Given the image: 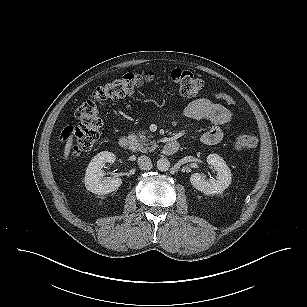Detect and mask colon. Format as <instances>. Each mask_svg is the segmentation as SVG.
Here are the masks:
<instances>
[{
  "mask_svg": "<svg viewBox=\"0 0 307 307\" xmlns=\"http://www.w3.org/2000/svg\"><path fill=\"white\" fill-rule=\"evenodd\" d=\"M156 79V74L150 71L126 73L97 87L91 97L85 100L76 111L79 125L69 127L63 132V138L72 141V154L79 156L90 151L100 138L103 121L97 103L132 96L143 86L155 82ZM167 79L178 93L185 97L196 96L204 86L202 79L182 69H173L167 74ZM258 142L256 134H243L238 131L234 138V148L236 150L253 149L257 147Z\"/></svg>",
  "mask_w": 307,
  "mask_h": 307,
  "instance_id": "colon-1",
  "label": "colon"
}]
</instances>
